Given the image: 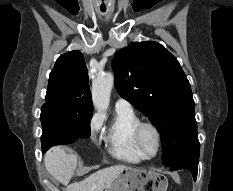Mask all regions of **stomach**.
<instances>
[{"mask_svg":"<svg viewBox=\"0 0 233 191\" xmlns=\"http://www.w3.org/2000/svg\"><path fill=\"white\" fill-rule=\"evenodd\" d=\"M165 175L142 168L128 167L102 191H167Z\"/></svg>","mask_w":233,"mask_h":191,"instance_id":"stomach-1","label":"stomach"}]
</instances>
